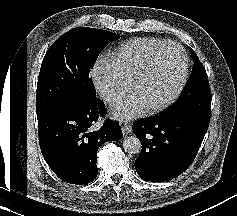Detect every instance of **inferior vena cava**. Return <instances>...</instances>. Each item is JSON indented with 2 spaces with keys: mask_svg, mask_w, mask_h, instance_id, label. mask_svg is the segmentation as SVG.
I'll return each instance as SVG.
<instances>
[{
  "mask_svg": "<svg viewBox=\"0 0 237 216\" xmlns=\"http://www.w3.org/2000/svg\"><path fill=\"white\" fill-rule=\"evenodd\" d=\"M102 94H103V96L106 94L105 98L109 100V104L112 107H117L119 104H121V102L123 100V96L118 93L104 91V92H102Z\"/></svg>",
  "mask_w": 237,
  "mask_h": 216,
  "instance_id": "obj_1",
  "label": "inferior vena cava"
}]
</instances>
